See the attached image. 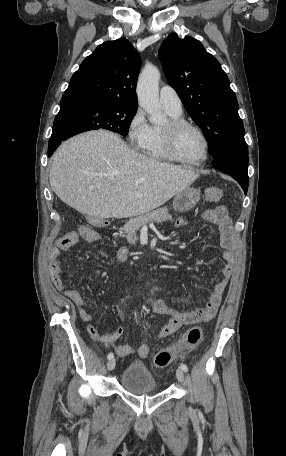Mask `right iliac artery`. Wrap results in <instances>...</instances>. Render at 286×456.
I'll return each instance as SVG.
<instances>
[{"label": "right iliac artery", "instance_id": "1", "mask_svg": "<svg viewBox=\"0 0 286 456\" xmlns=\"http://www.w3.org/2000/svg\"><path fill=\"white\" fill-rule=\"evenodd\" d=\"M114 357V354L112 352H110L108 355H107V358L110 360V359H113Z\"/></svg>", "mask_w": 286, "mask_h": 456}]
</instances>
